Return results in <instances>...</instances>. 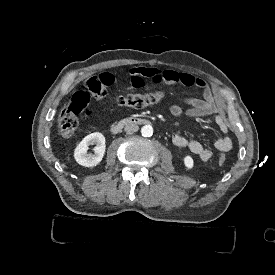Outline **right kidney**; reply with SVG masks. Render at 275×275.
I'll use <instances>...</instances> for the list:
<instances>
[{"mask_svg": "<svg viewBox=\"0 0 275 275\" xmlns=\"http://www.w3.org/2000/svg\"><path fill=\"white\" fill-rule=\"evenodd\" d=\"M96 144L94 147V155L87 154L88 146ZM105 137L102 133L95 132L87 135L77 145L74 151V158L76 162L85 167L96 166L103 158L105 153Z\"/></svg>", "mask_w": 275, "mask_h": 275, "instance_id": "1", "label": "right kidney"}]
</instances>
